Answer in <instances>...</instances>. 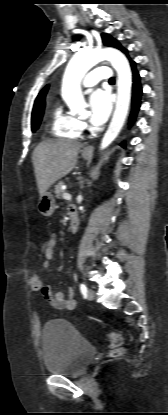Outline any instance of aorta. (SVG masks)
I'll return each mask as SVG.
<instances>
[{
	"mask_svg": "<svg viewBox=\"0 0 168 415\" xmlns=\"http://www.w3.org/2000/svg\"><path fill=\"white\" fill-rule=\"evenodd\" d=\"M102 60L110 61L118 75L115 111L101 142V149H105L123 127L130 105L132 74L123 53L112 47L77 52L69 61L64 73L62 98L71 110L83 109L85 100L81 92V80L94 65Z\"/></svg>",
	"mask_w": 168,
	"mask_h": 415,
	"instance_id": "762f6f07",
	"label": "aorta"
}]
</instances>
